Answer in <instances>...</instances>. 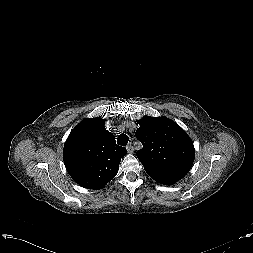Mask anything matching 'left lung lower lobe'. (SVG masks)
<instances>
[{
  "label": "left lung lower lobe",
  "mask_w": 253,
  "mask_h": 253,
  "mask_svg": "<svg viewBox=\"0 0 253 253\" xmlns=\"http://www.w3.org/2000/svg\"><path fill=\"white\" fill-rule=\"evenodd\" d=\"M147 173L155 181L164 185H172L185 176L181 174H174V173L161 172V171H147Z\"/></svg>",
  "instance_id": "0a47b994"
}]
</instances>
